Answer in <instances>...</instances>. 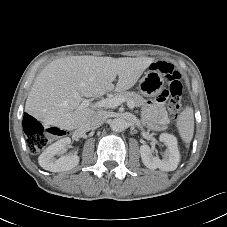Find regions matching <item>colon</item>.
Wrapping results in <instances>:
<instances>
[{
    "label": "colon",
    "mask_w": 227,
    "mask_h": 227,
    "mask_svg": "<svg viewBox=\"0 0 227 227\" xmlns=\"http://www.w3.org/2000/svg\"><path fill=\"white\" fill-rule=\"evenodd\" d=\"M153 69L162 72L169 82L168 90L171 92V97L168 101V110L172 119H177L182 111L181 96L183 86L181 82V73L166 62L159 61L152 65ZM24 131L27 135V145L32 152L42 150L48 143V133H59L55 129L45 128L37 119L28 116L25 118Z\"/></svg>",
    "instance_id": "1"
}]
</instances>
